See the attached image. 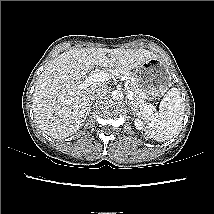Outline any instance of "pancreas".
<instances>
[{"label": "pancreas", "mask_w": 214, "mask_h": 214, "mask_svg": "<svg viewBox=\"0 0 214 214\" xmlns=\"http://www.w3.org/2000/svg\"><path fill=\"white\" fill-rule=\"evenodd\" d=\"M112 72L116 75L119 76L120 78L122 77H126L127 78V82L129 84V89L134 93L137 92L138 88H137V82L136 79L134 77V75L124 69L121 68H113ZM130 107L133 111H135L138 115H146V113L148 114H152V109L149 105H147L146 103H141L136 101L135 99H132L130 101ZM146 106H148V109L146 108Z\"/></svg>", "instance_id": "obj_1"}]
</instances>
